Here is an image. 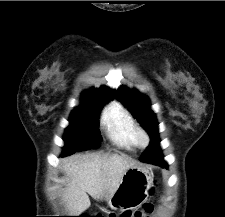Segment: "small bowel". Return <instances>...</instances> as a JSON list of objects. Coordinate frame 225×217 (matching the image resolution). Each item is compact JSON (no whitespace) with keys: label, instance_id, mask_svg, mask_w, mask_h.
<instances>
[{"label":"small bowel","instance_id":"1","mask_svg":"<svg viewBox=\"0 0 225 217\" xmlns=\"http://www.w3.org/2000/svg\"><path fill=\"white\" fill-rule=\"evenodd\" d=\"M146 194L139 189H131L124 192L118 201V210L120 212V217H142L143 213H150L152 211V206L145 202ZM141 206L143 212L135 211L133 208ZM112 217H115L113 214Z\"/></svg>","mask_w":225,"mask_h":217}]
</instances>
